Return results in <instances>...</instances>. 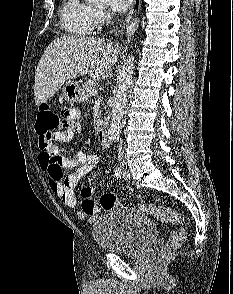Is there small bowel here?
<instances>
[{
  "mask_svg": "<svg viewBox=\"0 0 233 294\" xmlns=\"http://www.w3.org/2000/svg\"><path fill=\"white\" fill-rule=\"evenodd\" d=\"M64 121H60L61 129H65L56 135L55 140L61 143L70 142L74 135L79 133L81 125L79 123L80 113L77 109H67L63 112ZM52 154L53 156H45ZM96 155L79 151L74 156H62L56 145L50 149H42L39 155V163L44 172L51 190L64 202L71 210L77 209V199L75 189L79 180L92 171L98 164ZM72 168L74 171L66 176L63 175V168ZM95 187L87 186L82 190V210L78 217L93 219L100 210V206L93 199Z\"/></svg>",
  "mask_w": 233,
  "mask_h": 294,
  "instance_id": "c3829d8e",
  "label": "small bowel"
}]
</instances>
